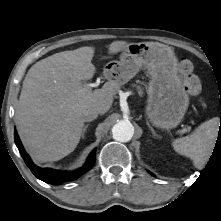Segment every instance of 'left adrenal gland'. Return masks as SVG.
Here are the masks:
<instances>
[{
	"mask_svg": "<svg viewBox=\"0 0 221 221\" xmlns=\"http://www.w3.org/2000/svg\"><path fill=\"white\" fill-rule=\"evenodd\" d=\"M147 126L149 127V129L151 130L152 134L154 137L156 138H160V136L154 131V129L151 127V125L147 122Z\"/></svg>",
	"mask_w": 221,
	"mask_h": 221,
	"instance_id": "obj_1",
	"label": "left adrenal gland"
}]
</instances>
